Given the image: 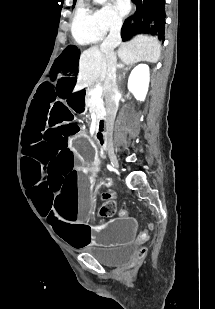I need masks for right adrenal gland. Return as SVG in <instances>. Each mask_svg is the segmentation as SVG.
<instances>
[{
    "mask_svg": "<svg viewBox=\"0 0 215 309\" xmlns=\"http://www.w3.org/2000/svg\"><path fill=\"white\" fill-rule=\"evenodd\" d=\"M118 68H124V64H118ZM130 66H126V68H124V70H129Z\"/></svg>",
    "mask_w": 215,
    "mask_h": 309,
    "instance_id": "right-adrenal-gland-1",
    "label": "right adrenal gland"
}]
</instances>
